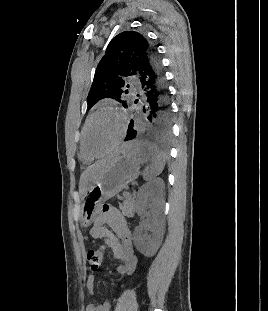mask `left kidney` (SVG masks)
Here are the masks:
<instances>
[{
    "label": "left kidney",
    "mask_w": 268,
    "mask_h": 311,
    "mask_svg": "<svg viewBox=\"0 0 268 311\" xmlns=\"http://www.w3.org/2000/svg\"><path fill=\"white\" fill-rule=\"evenodd\" d=\"M164 182L157 178L144 184L138 194L136 210L141 223L134 230V245L146 257L153 256L160 247L164 234ZM150 222V224H149ZM149 229L150 235L144 233Z\"/></svg>",
    "instance_id": "1"
}]
</instances>
